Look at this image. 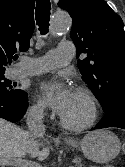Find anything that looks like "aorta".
Returning <instances> with one entry per match:
<instances>
[{"instance_id":"aorta-1","label":"aorta","mask_w":125,"mask_h":167,"mask_svg":"<svg viewBox=\"0 0 125 167\" xmlns=\"http://www.w3.org/2000/svg\"><path fill=\"white\" fill-rule=\"evenodd\" d=\"M71 18L67 13H55L51 22V35L56 37L67 32L71 26Z\"/></svg>"}]
</instances>
